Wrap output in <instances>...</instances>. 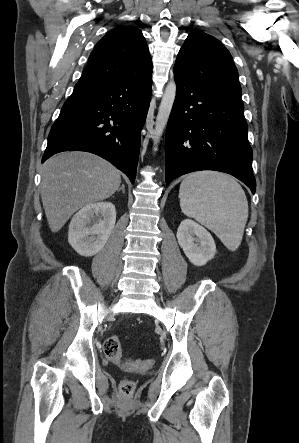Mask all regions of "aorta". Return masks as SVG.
Here are the masks:
<instances>
[{"label":"aorta","mask_w":299,"mask_h":443,"mask_svg":"<svg viewBox=\"0 0 299 443\" xmlns=\"http://www.w3.org/2000/svg\"><path fill=\"white\" fill-rule=\"evenodd\" d=\"M176 90H177L176 83L174 80H171L165 88L156 117L154 137H153L154 151L157 150V142L159 138L162 136L163 131L167 125L175 101Z\"/></svg>","instance_id":"1"}]
</instances>
